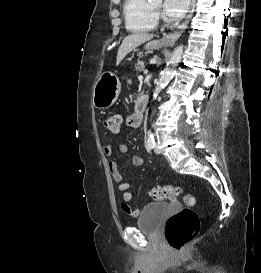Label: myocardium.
I'll return each instance as SVG.
<instances>
[{"label":"myocardium","instance_id":"1","mask_svg":"<svg viewBox=\"0 0 261 273\" xmlns=\"http://www.w3.org/2000/svg\"><path fill=\"white\" fill-rule=\"evenodd\" d=\"M151 8H152V11H153L155 17L157 18L160 15V10L158 8L154 7L152 4H151Z\"/></svg>","mask_w":261,"mask_h":273}]
</instances>
